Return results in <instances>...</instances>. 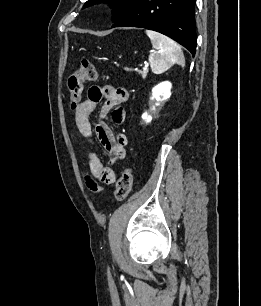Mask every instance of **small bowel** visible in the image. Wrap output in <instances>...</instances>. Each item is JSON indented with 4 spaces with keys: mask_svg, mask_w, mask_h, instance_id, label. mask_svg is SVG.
<instances>
[{
    "mask_svg": "<svg viewBox=\"0 0 261 306\" xmlns=\"http://www.w3.org/2000/svg\"><path fill=\"white\" fill-rule=\"evenodd\" d=\"M128 98V92L124 88L113 86H93L89 89L87 98L80 102L75 108V124L84 140L93 143V128L90 115L97 104L103 100L100 116L103 118L111 112V120L116 125H121L125 120V114L121 107ZM95 134L102 146L110 153V165L104 166L92 148L85 150V157L90 169V176L86 177V185L90 191L99 194L102 188L99 183L112 184L117 178V173L112 165L126 156L128 138L123 133H112L109 127L99 121L95 126Z\"/></svg>",
    "mask_w": 261,
    "mask_h": 306,
    "instance_id": "small-bowel-1",
    "label": "small bowel"
}]
</instances>
